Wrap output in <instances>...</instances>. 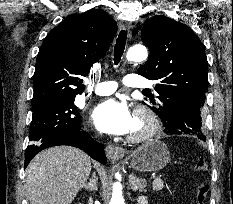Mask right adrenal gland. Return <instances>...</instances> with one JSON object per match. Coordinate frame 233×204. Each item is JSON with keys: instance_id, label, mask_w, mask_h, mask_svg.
<instances>
[{"instance_id": "obj_1", "label": "right adrenal gland", "mask_w": 233, "mask_h": 204, "mask_svg": "<svg viewBox=\"0 0 233 204\" xmlns=\"http://www.w3.org/2000/svg\"><path fill=\"white\" fill-rule=\"evenodd\" d=\"M97 184H98V177H96V174H92V178L89 180V183L85 185V189L89 191H95L97 190Z\"/></svg>"}]
</instances>
